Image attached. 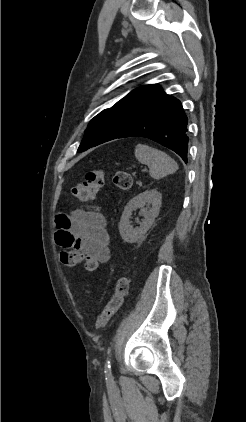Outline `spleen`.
<instances>
[{"label":"spleen","instance_id":"1","mask_svg":"<svg viewBox=\"0 0 246 422\" xmlns=\"http://www.w3.org/2000/svg\"><path fill=\"white\" fill-rule=\"evenodd\" d=\"M135 157L149 167L150 176L154 179H160L178 170V164L168 154L147 145H136Z\"/></svg>","mask_w":246,"mask_h":422}]
</instances>
